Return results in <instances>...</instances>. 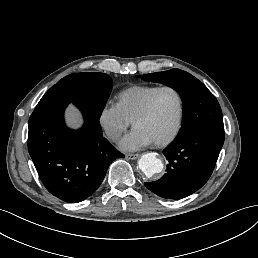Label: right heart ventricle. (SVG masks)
<instances>
[{"mask_svg":"<svg viewBox=\"0 0 258 258\" xmlns=\"http://www.w3.org/2000/svg\"><path fill=\"white\" fill-rule=\"evenodd\" d=\"M159 88L156 85H134L122 90L116 98V106L134 124L142 113L149 97Z\"/></svg>","mask_w":258,"mask_h":258,"instance_id":"right-heart-ventricle-1","label":"right heart ventricle"}]
</instances>
